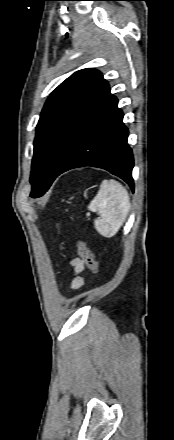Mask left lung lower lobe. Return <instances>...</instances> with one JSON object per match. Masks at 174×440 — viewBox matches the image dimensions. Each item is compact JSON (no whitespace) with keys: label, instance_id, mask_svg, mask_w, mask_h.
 Wrapping results in <instances>:
<instances>
[{"label":"left lung lower lobe","instance_id":"0a47b994","mask_svg":"<svg viewBox=\"0 0 174 440\" xmlns=\"http://www.w3.org/2000/svg\"><path fill=\"white\" fill-rule=\"evenodd\" d=\"M122 119L118 100L109 92L88 118L58 175L73 168L93 166L122 178L134 191L133 155Z\"/></svg>","mask_w":174,"mask_h":440}]
</instances>
